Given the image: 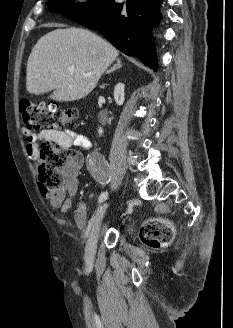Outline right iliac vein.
Segmentation results:
<instances>
[{
	"instance_id": "1",
	"label": "right iliac vein",
	"mask_w": 233,
	"mask_h": 328,
	"mask_svg": "<svg viewBox=\"0 0 233 328\" xmlns=\"http://www.w3.org/2000/svg\"><path fill=\"white\" fill-rule=\"evenodd\" d=\"M108 207H109V204L104 203L99 208V210L96 214V217L93 221L92 229H91L90 235L88 237V240H87V243L85 246V259H86V262L89 264H91L94 260L101 223H102V220L104 218L105 212Z\"/></svg>"
}]
</instances>
